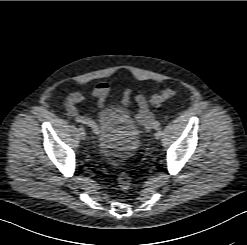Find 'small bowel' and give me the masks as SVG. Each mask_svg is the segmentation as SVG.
I'll return each mask as SVG.
<instances>
[{
    "mask_svg": "<svg viewBox=\"0 0 247 245\" xmlns=\"http://www.w3.org/2000/svg\"><path fill=\"white\" fill-rule=\"evenodd\" d=\"M110 92V85L106 82H100L96 84L93 89L86 94L84 90H76L69 93L64 101V108L70 117L76 119L79 116V112L76 108V104L86 101L88 99L96 100L100 109L105 108V100ZM132 95V90L126 88L123 92L121 104L123 106L128 105ZM138 112L131 116L132 120L140 125H143L146 129H150L155 120L154 114L150 111L148 101L142 94H138L135 98Z\"/></svg>",
    "mask_w": 247,
    "mask_h": 245,
    "instance_id": "small-bowel-1",
    "label": "small bowel"
}]
</instances>
